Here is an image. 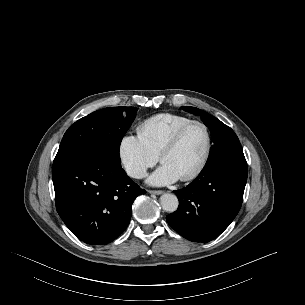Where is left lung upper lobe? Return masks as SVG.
Masks as SVG:
<instances>
[{
  "mask_svg": "<svg viewBox=\"0 0 305 305\" xmlns=\"http://www.w3.org/2000/svg\"><path fill=\"white\" fill-rule=\"evenodd\" d=\"M183 110L199 115L203 123L210 129L214 145L210 159L206 165L219 160L227 154L242 151L240 142L234 131L217 118L195 107L183 106Z\"/></svg>",
  "mask_w": 305,
  "mask_h": 305,
  "instance_id": "1",
  "label": "left lung upper lobe"
}]
</instances>
